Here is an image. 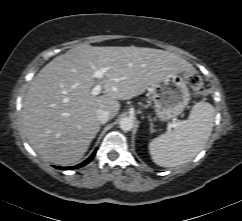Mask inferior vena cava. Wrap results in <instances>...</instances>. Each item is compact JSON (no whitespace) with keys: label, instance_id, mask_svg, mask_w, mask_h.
Returning a JSON list of instances; mask_svg holds the SVG:
<instances>
[{"label":"inferior vena cava","instance_id":"1","mask_svg":"<svg viewBox=\"0 0 242 221\" xmlns=\"http://www.w3.org/2000/svg\"><path fill=\"white\" fill-rule=\"evenodd\" d=\"M96 115L101 124L106 123L110 119V113L107 110L99 109L96 111Z\"/></svg>","mask_w":242,"mask_h":221}]
</instances>
